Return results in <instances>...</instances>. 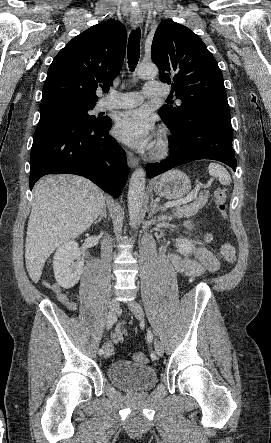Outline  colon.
Instances as JSON below:
<instances>
[{
	"instance_id": "1",
	"label": "colon",
	"mask_w": 271,
	"mask_h": 443,
	"mask_svg": "<svg viewBox=\"0 0 271 443\" xmlns=\"http://www.w3.org/2000/svg\"><path fill=\"white\" fill-rule=\"evenodd\" d=\"M226 200L227 194L225 189L219 188L215 191V204L221 217L226 216ZM220 254L222 258L229 264H233L236 261V252L234 247L230 243H224L220 247ZM134 360L139 363H147L148 357L144 353L134 354Z\"/></svg>"
}]
</instances>
